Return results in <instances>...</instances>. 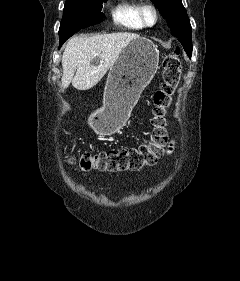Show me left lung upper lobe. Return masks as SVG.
Segmentation results:
<instances>
[{
  "mask_svg": "<svg viewBox=\"0 0 240 281\" xmlns=\"http://www.w3.org/2000/svg\"><path fill=\"white\" fill-rule=\"evenodd\" d=\"M167 19L171 32L182 44L189 57L192 55V28L181 0H151Z\"/></svg>",
  "mask_w": 240,
  "mask_h": 281,
  "instance_id": "obj_1",
  "label": "left lung upper lobe"
}]
</instances>
